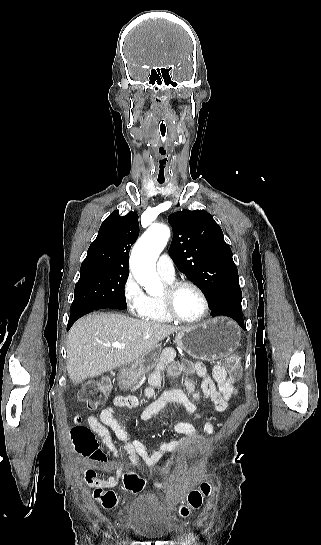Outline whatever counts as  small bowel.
Returning a JSON list of instances; mask_svg holds the SVG:
<instances>
[{
	"label": "small bowel",
	"instance_id": "c3829d8e",
	"mask_svg": "<svg viewBox=\"0 0 321 545\" xmlns=\"http://www.w3.org/2000/svg\"><path fill=\"white\" fill-rule=\"evenodd\" d=\"M193 368L202 380V394L213 402L215 409L218 412L225 411L228 401L236 394L234 379L227 375L226 370L221 365H215L213 367L212 377L208 375L205 366L200 362L194 363ZM153 382H157V379H154ZM183 384L186 392L175 389L164 393L160 398L143 410L141 414L142 419L147 422H152L157 413L170 402L180 403L190 414H196L195 403L201 402L202 395L196 390L195 382L190 377H186ZM152 395L153 389L148 388L145 391V398H150ZM142 401L143 399L137 396L119 395L113 399V405L117 408H135L139 406ZM114 412L115 410L113 407H107L101 411L99 418L89 416L87 418L88 426L101 438L102 443L111 455L118 457V450L112 441L111 430L122 442L124 449L129 455L130 462L139 469H142L145 466L150 472L155 471L157 469V463L164 452L174 451L186 446L196 437V430L192 425L182 422L173 423L171 424L172 430L184 435V437L164 443L155 452L148 454L142 442L136 439L132 440L127 432L121 427L114 417ZM198 416L202 417L203 414H198ZM205 430L210 434L214 433V428L210 423H206ZM94 459L103 464L106 462L105 456L100 452L94 456ZM120 475L121 471L118 469L115 475L100 479L96 477L94 470L89 469L86 472L85 478L90 487L110 489L118 485ZM156 487L163 488L164 485L156 483Z\"/></svg>",
	"mask_w": 321,
	"mask_h": 545
}]
</instances>
